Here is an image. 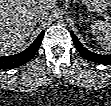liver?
Instances as JSON below:
<instances>
[{
  "label": "liver",
  "instance_id": "obj_1",
  "mask_svg": "<svg viewBox=\"0 0 111 106\" xmlns=\"http://www.w3.org/2000/svg\"><path fill=\"white\" fill-rule=\"evenodd\" d=\"M55 0H1L0 53L11 54L23 48L36 26V11L49 12Z\"/></svg>",
  "mask_w": 111,
  "mask_h": 106
}]
</instances>
